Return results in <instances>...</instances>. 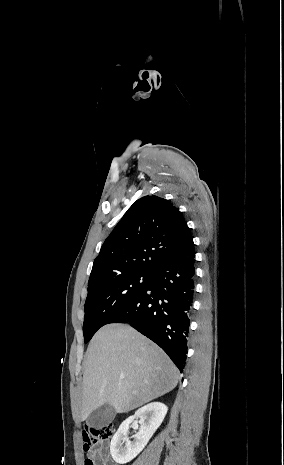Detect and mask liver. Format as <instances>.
<instances>
[{
  "label": "liver",
  "mask_w": 284,
  "mask_h": 465,
  "mask_svg": "<svg viewBox=\"0 0 284 465\" xmlns=\"http://www.w3.org/2000/svg\"><path fill=\"white\" fill-rule=\"evenodd\" d=\"M178 379L177 367L152 341L129 325H105L86 351L80 421L102 405L133 411L175 389Z\"/></svg>",
  "instance_id": "obj_1"
}]
</instances>
